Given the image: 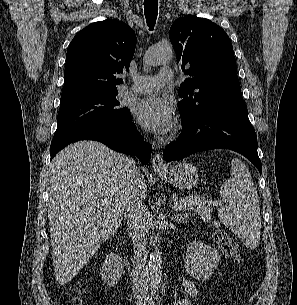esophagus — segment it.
Returning <instances> with one entry per match:
<instances>
[{
	"instance_id": "1",
	"label": "esophagus",
	"mask_w": 297,
	"mask_h": 305,
	"mask_svg": "<svg viewBox=\"0 0 297 305\" xmlns=\"http://www.w3.org/2000/svg\"><path fill=\"white\" fill-rule=\"evenodd\" d=\"M152 168L154 171H161L165 169V164L162 155L158 152L152 159Z\"/></svg>"
}]
</instances>
